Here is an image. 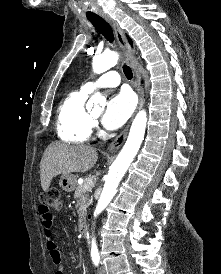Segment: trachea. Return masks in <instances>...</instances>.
<instances>
[{"instance_id":"obj_1","label":"trachea","mask_w":221,"mask_h":274,"mask_svg":"<svg viewBox=\"0 0 221 274\" xmlns=\"http://www.w3.org/2000/svg\"><path fill=\"white\" fill-rule=\"evenodd\" d=\"M88 20L93 24L95 29H97L110 43L114 41V35L110 25L100 16H89ZM123 72L127 79L131 80L133 77L132 70L127 66L123 65Z\"/></svg>"}]
</instances>
